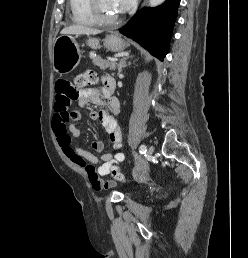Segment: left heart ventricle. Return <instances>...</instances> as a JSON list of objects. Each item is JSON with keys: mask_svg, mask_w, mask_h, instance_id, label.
Masks as SVG:
<instances>
[{"mask_svg": "<svg viewBox=\"0 0 248 258\" xmlns=\"http://www.w3.org/2000/svg\"><path fill=\"white\" fill-rule=\"evenodd\" d=\"M100 9L102 14L107 17L116 18L119 15L113 0H100Z\"/></svg>", "mask_w": 248, "mask_h": 258, "instance_id": "obj_1", "label": "left heart ventricle"}]
</instances>
